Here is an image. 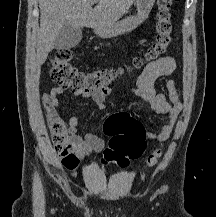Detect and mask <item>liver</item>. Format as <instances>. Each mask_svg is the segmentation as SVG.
Listing matches in <instances>:
<instances>
[{
  "label": "liver",
  "instance_id": "1",
  "mask_svg": "<svg viewBox=\"0 0 216 217\" xmlns=\"http://www.w3.org/2000/svg\"><path fill=\"white\" fill-rule=\"evenodd\" d=\"M135 0H39L40 30L37 63L42 65L54 49L57 35L64 25L76 28L109 27L129 10Z\"/></svg>",
  "mask_w": 216,
  "mask_h": 217
}]
</instances>
